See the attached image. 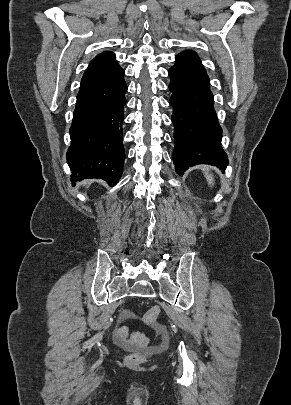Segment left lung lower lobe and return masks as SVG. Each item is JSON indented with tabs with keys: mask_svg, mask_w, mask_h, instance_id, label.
<instances>
[{
	"mask_svg": "<svg viewBox=\"0 0 291 405\" xmlns=\"http://www.w3.org/2000/svg\"><path fill=\"white\" fill-rule=\"evenodd\" d=\"M168 72L171 78L169 100L173 106L175 126L173 162L176 172L197 164H210L224 169L227 154L220 146L222 129L214 110L210 80L197 54L191 50L175 57Z\"/></svg>",
	"mask_w": 291,
	"mask_h": 405,
	"instance_id": "0a47b994",
	"label": "left lung lower lobe"
}]
</instances>
